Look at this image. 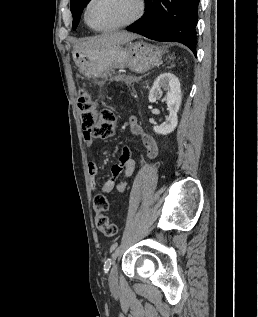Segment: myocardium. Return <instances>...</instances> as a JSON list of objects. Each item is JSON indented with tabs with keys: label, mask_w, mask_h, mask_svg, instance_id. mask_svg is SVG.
Returning a JSON list of instances; mask_svg holds the SVG:
<instances>
[{
	"label": "myocardium",
	"mask_w": 258,
	"mask_h": 317,
	"mask_svg": "<svg viewBox=\"0 0 258 317\" xmlns=\"http://www.w3.org/2000/svg\"><path fill=\"white\" fill-rule=\"evenodd\" d=\"M94 0H90L86 7H85V11H84V20L86 22V24L93 30L95 31H98V32H109V31H113V30H117V29H121V28H125V27H129L131 26L132 24H134L143 14V11H144V6L142 4L141 1L139 0H129L133 3H135L136 5V12L135 14L127 21L123 22V23H120V24H117V25H114V26H111V27H107V28H99V27H96L94 26L90 21H89V18H88V11H89V7L90 5L92 4Z\"/></svg>",
	"instance_id": "f54148a6"
}]
</instances>
